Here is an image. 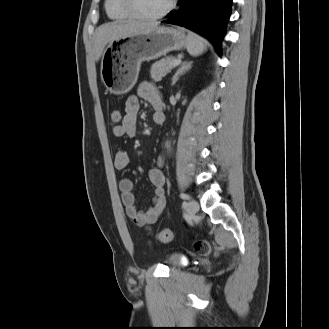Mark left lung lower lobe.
Masks as SVG:
<instances>
[{"mask_svg":"<svg viewBox=\"0 0 329 329\" xmlns=\"http://www.w3.org/2000/svg\"><path fill=\"white\" fill-rule=\"evenodd\" d=\"M232 0H179L180 8L162 23L186 27L207 38L221 56V40L230 17Z\"/></svg>","mask_w":329,"mask_h":329,"instance_id":"left-lung-lower-lobe-1","label":"left lung lower lobe"}]
</instances>
